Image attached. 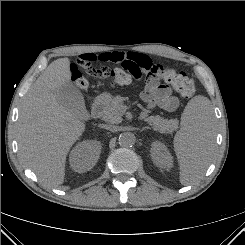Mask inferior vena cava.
Returning <instances> with one entry per match:
<instances>
[{
  "instance_id": "obj_1",
  "label": "inferior vena cava",
  "mask_w": 245,
  "mask_h": 245,
  "mask_svg": "<svg viewBox=\"0 0 245 245\" xmlns=\"http://www.w3.org/2000/svg\"><path fill=\"white\" fill-rule=\"evenodd\" d=\"M104 128L109 130V131H111V132H116L117 131V127L113 126V125H105Z\"/></svg>"
}]
</instances>
